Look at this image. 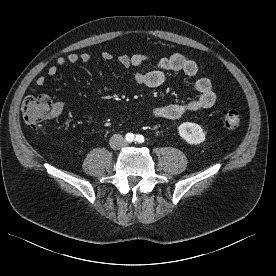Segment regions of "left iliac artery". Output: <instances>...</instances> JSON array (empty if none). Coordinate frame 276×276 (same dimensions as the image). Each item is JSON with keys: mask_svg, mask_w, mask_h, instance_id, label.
<instances>
[{"mask_svg": "<svg viewBox=\"0 0 276 276\" xmlns=\"http://www.w3.org/2000/svg\"><path fill=\"white\" fill-rule=\"evenodd\" d=\"M135 141H136L137 143H143V142L145 141L144 136H143V135H140V134L136 135Z\"/></svg>", "mask_w": 276, "mask_h": 276, "instance_id": "left-iliac-artery-1", "label": "left iliac artery"}]
</instances>
